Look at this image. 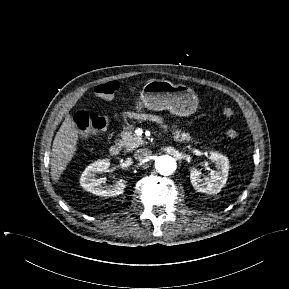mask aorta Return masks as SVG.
<instances>
[{
	"label": "aorta",
	"mask_w": 289,
	"mask_h": 289,
	"mask_svg": "<svg viewBox=\"0 0 289 289\" xmlns=\"http://www.w3.org/2000/svg\"><path fill=\"white\" fill-rule=\"evenodd\" d=\"M155 168L161 175H170L177 168L176 159L169 155L159 156L155 162Z\"/></svg>",
	"instance_id": "1"
}]
</instances>
